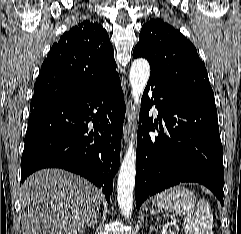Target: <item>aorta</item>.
<instances>
[{
    "instance_id": "762f6f07",
    "label": "aorta",
    "mask_w": 241,
    "mask_h": 234,
    "mask_svg": "<svg viewBox=\"0 0 241 234\" xmlns=\"http://www.w3.org/2000/svg\"><path fill=\"white\" fill-rule=\"evenodd\" d=\"M150 76V65L146 59H136L130 69L129 80L132 87V98L134 100V118L138 113L141 95L146 87ZM136 175V130L130 134L127 151L122 160L118 181L117 201L122 214L129 218L133 210V192Z\"/></svg>"
}]
</instances>
